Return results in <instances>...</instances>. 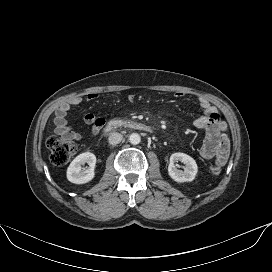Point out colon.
I'll use <instances>...</instances> for the list:
<instances>
[{
  "mask_svg": "<svg viewBox=\"0 0 272 272\" xmlns=\"http://www.w3.org/2000/svg\"><path fill=\"white\" fill-rule=\"evenodd\" d=\"M47 147L49 148L51 154L50 159L53 164L57 166H62L66 164L76 151L74 143L63 139L58 135H51L47 139ZM221 166L215 165L210 168L212 175L217 176L221 173Z\"/></svg>",
  "mask_w": 272,
  "mask_h": 272,
  "instance_id": "5ec220e1",
  "label": "colon"
}]
</instances>
